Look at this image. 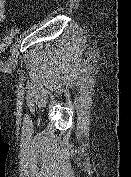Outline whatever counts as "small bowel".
Here are the masks:
<instances>
[{
    "instance_id": "obj_1",
    "label": "small bowel",
    "mask_w": 131,
    "mask_h": 177,
    "mask_svg": "<svg viewBox=\"0 0 131 177\" xmlns=\"http://www.w3.org/2000/svg\"><path fill=\"white\" fill-rule=\"evenodd\" d=\"M8 0H0V24L6 19V4Z\"/></svg>"
}]
</instances>
